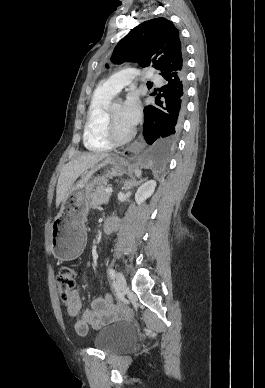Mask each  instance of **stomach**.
Listing matches in <instances>:
<instances>
[{
  "label": "stomach",
  "instance_id": "1",
  "mask_svg": "<svg viewBox=\"0 0 265 388\" xmlns=\"http://www.w3.org/2000/svg\"><path fill=\"white\" fill-rule=\"evenodd\" d=\"M126 159L110 155L80 175L62 201L60 212L51 226V247L54 257L69 261L83 251L86 241L84 220L92 205L90 194L98 183L122 176L128 169Z\"/></svg>",
  "mask_w": 265,
  "mask_h": 388
}]
</instances>
